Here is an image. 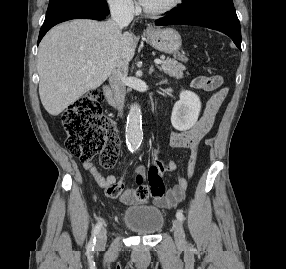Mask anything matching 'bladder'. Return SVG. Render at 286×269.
<instances>
[{
  "label": "bladder",
  "mask_w": 286,
  "mask_h": 269,
  "mask_svg": "<svg viewBox=\"0 0 286 269\" xmlns=\"http://www.w3.org/2000/svg\"><path fill=\"white\" fill-rule=\"evenodd\" d=\"M122 223L136 234L154 235L163 229L165 217L155 206L135 205L124 210Z\"/></svg>",
  "instance_id": "obj_1"
}]
</instances>
